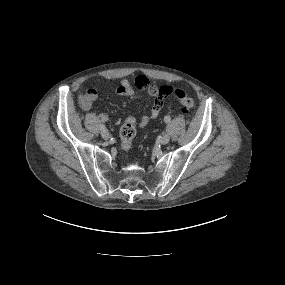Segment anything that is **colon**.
<instances>
[{
    "label": "colon",
    "mask_w": 285,
    "mask_h": 285,
    "mask_svg": "<svg viewBox=\"0 0 285 285\" xmlns=\"http://www.w3.org/2000/svg\"><path fill=\"white\" fill-rule=\"evenodd\" d=\"M137 83L143 85L145 83V79L141 78ZM173 94L174 97L181 103L184 111L188 112L193 109L195 105L194 99L187 95L183 90L177 89ZM136 133V120L135 118L129 116L124 120L120 129L121 145L124 150L131 149L133 141L136 137Z\"/></svg>",
    "instance_id": "colon-1"
}]
</instances>
